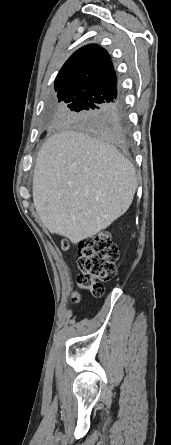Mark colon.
<instances>
[{"mask_svg":"<svg viewBox=\"0 0 171 445\" xmlns=\"http://www.w3.org/2000/svg\"><path fill=\"white\" fill-rule=\"evenodd\" d=\"M63 249L69 248V242H62ZM118 258V248L111 240L109 233L101 232L95 237L87 238L78 247V265L80 273L77 276L78 286L89 291L95 297H101L104 293L100 281L110 280L115 273L114 262ZM79 294L72 297L73 302H78Z\"/></svg>","mask_w":171,"mask_h":445,"instance_id":"1","label":"colon"}]
</instances>
